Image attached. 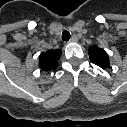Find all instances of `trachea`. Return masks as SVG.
I'll return each instance as SVG.
<instances>
[{
  "label": "trachea",
  "instance_id": "3493384b",
  "mask_svg": "<svg viewBox=\"0 0 127 127\" xmlns=\"http://www.w3.org/2000/svg\"><path fill=\"white\" fill-rule=\"evenodd\" d=\"M71 35L67 30H64L62 32V39L63 41H68L70 39Z\"/></svg>",
  "mask_w": 127,
  "mask_h": 127
}]
</instances>
